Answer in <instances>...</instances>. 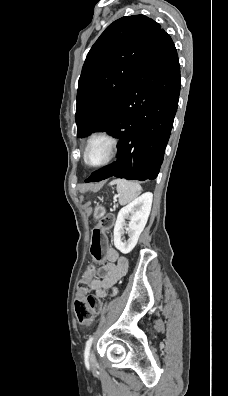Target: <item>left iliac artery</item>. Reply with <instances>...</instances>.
Instances as JSON below:
<instances>
[{
    "instance_id": "44dca946",
    "label": "left iliac artery",
    "mask_w": 228,
    "mask_h": 396,
    "mask_svg": "<svg viewBox=\"0 0 228 396\" xmlns=\"http://www.w3.org/2000/svg\"><path fill=\"white\" fill-rule=\"evenodd\" d=\"M92 342H93V336H91V337L88 339V341L86 342V347H85V352H84V356H85L86 358L89 357V352H90V347H91V345H92Z\"/></svg>"
}]
</instances>
